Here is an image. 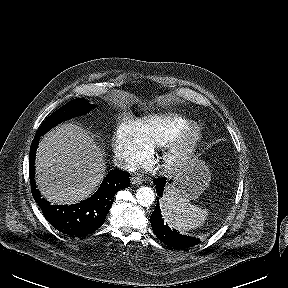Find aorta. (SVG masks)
I'll list each match as a JSON object with an SVG mask.
<instances>
[{"label":"aorta","instance_id":"aorta-1","mask_svg":"<svg viewBox=\"0 0 288 288\" xmlns=\"http://www.w3.org/2000/svg\"><path fill=\"white\" fill-rule=\"evenodd\" d=\"M136 200L141 206L148 207L155 201V193L150 187L142 186L136 191Z\"/></svg>","mask_w":288,"mask_h":288}]
</instances>
